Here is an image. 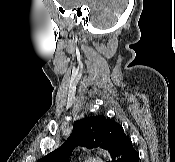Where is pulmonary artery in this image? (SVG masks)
Segmentation results:
<instances>
[{
	"label": "pulmonary artery",
	"mask_w": 175,
	"mask_h": 162,
	"mask_svg": "<svg viewBox=\"0 0 175 162\" xmlns=\"http://www.w3.org/2000/svg\"><path fill=\"white\" fill-rule=\"evenodd\" d=\"M87 162H103V161L100 160V159H96V158H94V159H90V160H88Z\"/></svg>",
	"instance_id": "obj_1"
}]
</instances>
